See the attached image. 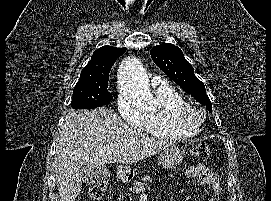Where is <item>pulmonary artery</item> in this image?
<instances>
[{
    "instance_id": "1",
    "label": "pulmonary artery",
    "mask_w": 271,
    "mask_h": 201,
    "mask_svg": "<svg viewBox=\"0 0 271 201\" xmlns=\"http://www.w3.org/2000/svg\"><path fill=\"white\" fill-rule=\"evenodd\" d=\"M165 84H167V81L160 76H155L152 78V85L154 86H160Z\"/></svg>"
}]
</instances>
